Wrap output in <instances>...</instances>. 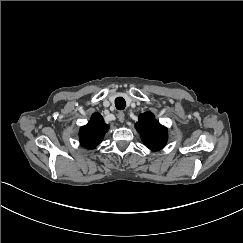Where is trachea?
Segmentation results:
<instances>
[{
    "instance_id": "3493384b",
    "label": "trachea",
    "mask_w": 243,
    "mask_h": 243,
    "mask_svg": "<svg viewBox=\"0 0 243 243\" xmlns=\"http://www.w3.org/2000/svg\"><path fill=\"white\" fill-rule=\"evenodd\" d=\"M115 107L118 109V110H123L125 109L126 107V102H125V99L123 97H117L115 99Z\"/></svg>"
}]
</instances>
